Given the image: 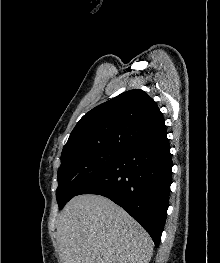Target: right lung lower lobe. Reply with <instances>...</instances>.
<instances>
[{"mask_svg": "<svg viewBox=\"0 0 220 263\" xmlns=\"http://www.w3.org/2000/svg\"><path fill=\"white\" fill-rule=\"evenodd\" d=\"M172 177L167 132L138 140L120 158L85 185L77 195H102L125 209L158 247L164 228Z\"/></svg>", "mask_w": 220, "mask_h": 263, "instance_id": "1", "label": "right lung lower lobe"}]
</instances>
